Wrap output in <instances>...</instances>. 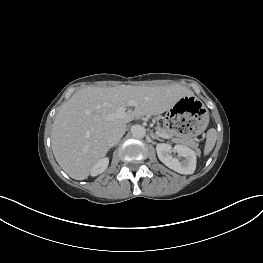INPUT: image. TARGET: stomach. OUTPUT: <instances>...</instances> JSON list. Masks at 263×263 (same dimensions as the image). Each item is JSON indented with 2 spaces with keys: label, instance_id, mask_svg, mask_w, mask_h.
<instances>
[{
  "label": "stomach",
  "instance_id": "obj_1",
  "mask_svg": "<svg viewBox=\"0 0 263 263\" xmlns=\"http://www.w3.org/2000/svg\"><path fill=\"white\" fill-rule=\"evenodd\" d=\"M164 123L176 137L195 138L207 128L208 114L197 98L184 96L167 110Z\"/></svg>",
  "mask_w": 263,
  "mask_h": 263
}]
</instances>
